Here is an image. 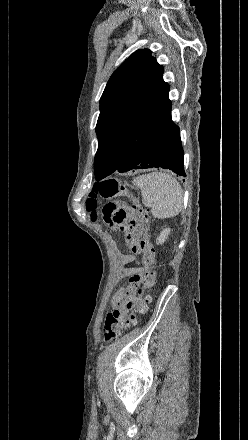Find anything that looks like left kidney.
<instances>
[{
	"label": "left kidney",
	"instance_id": "5707ae66",
	"mask_svg": "<svg viewBox=\"0 0 248 440\" xmlns=\"http://www.w3.org/2000/svg\"><path fill=\"white\" fill-rule=\"evenodd\" d=\"M171 230L169 228H165L163 229V231H161L160 235L157 237L156 243L159 244H163L166 239L168 238V235L170 234Z\"/></svg>",
	"mask_w": 248,
	"mask_h": 440
}]
</instances>
